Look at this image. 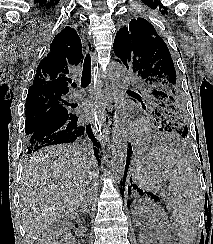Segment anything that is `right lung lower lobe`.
Here are the masks:
<instances>
[{"mask_svg":"<svg viewBox=\"0 0 213 244\" xmlns=\"http://www.w3.org/2000/svg\"><path fill=\"white\" fill-rule=\"evenodd\" d=\"M78 118L76 114L66 115L38 128L26 138L27 153L32 154L40 148L50 145L73 143L84 132H87L95 146L94 153L97 157L99 143L91 131V125L89 124L86 128L81 126Z\"/></svg>","mask_w":213,"mask_h":244,"instance_id":"obj_1","label":"right lung lower lobe"}]
</instances>
